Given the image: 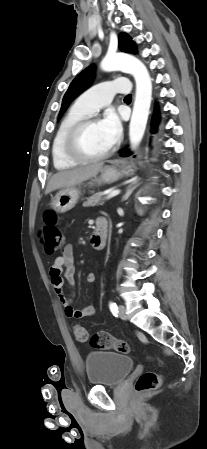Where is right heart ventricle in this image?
Masks as SVG:
<instances>
[{
	"label": "right heart ventricle",
	"instance_id": "1",
	"mask_svg": "<svg viewBox=\"0 0 207 449\" xmlns=\"http://www.w3.org/2000/svg\"><path fill=\"white\" fill-rule=\"evenodd\" d=\"M89 116L74 104L59 124L52 141V161L57 170H65L74 167L78 162L71 160L64 152V138L66 133L77 121Z\"/></svg>",
	"mask_w": 207,
	"mask_h": 449
}]
</instances>
